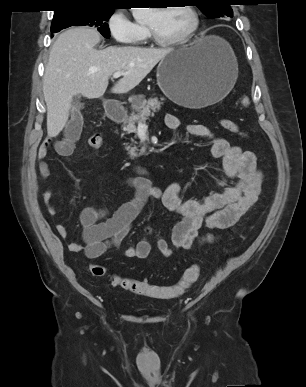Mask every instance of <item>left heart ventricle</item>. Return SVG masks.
I'll list each match as a JSON object with an SVG mask.
<instances>
[{"label":"left heart ventricle","instance_id":"1","mask_svg":"<svg viewBox=\"0 0 306 387\" xmlns=\"http://www.w3.org/2000/svg\"><path fill=\"white\" fill-rule=\"evenodd\" d=\"M147 24L164 40L182 37L192 24L191 15L183 7H167L153 9L149 14Z\"/></svg>","mask_w":306,"mask_h":387}]
</instances>
